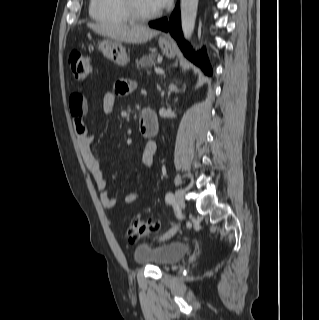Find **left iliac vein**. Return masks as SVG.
<instances>
[{
  "mask_svg": "<svg viewBox=\"0 0 319 320\" xmlns=\"http://www.w3.org/2000/svg\"><path fill=\"white\" fill-rule=\"evenodd\" d=\"M174 201H175L176 205L180 209L183 208L184 205H185V193H184V191L177 190L176 193H175ZM175 231H176V229L171 230V232L167 235V237L170 236V235H173L175 233Z\"/></svg>",
  "mask_w": 319,
  "mask_h": 320,
  "instance_id": "obj_1",
  "label": "left iliac vein"
}]
</instances>
